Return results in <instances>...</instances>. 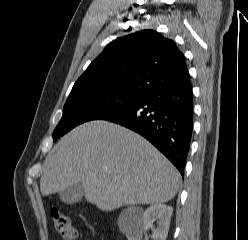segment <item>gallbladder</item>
Segmentation results:
<instances>
[{"label":"gallbladder","mask_w":248,"mask_h":240,"mask_svg":"<svg viewBox=\"0 0 248 240\" xmlns=\"http://www.w3.org/2000/svg\"><path fill=\"white\" fill-rule=\"evenodd\" d=\"M84 194L82 185L69 186L59 192V198L63 203L73 204L81 200Z\"/></svg>","instance_id":"bac80fb5"}]
</instances>
